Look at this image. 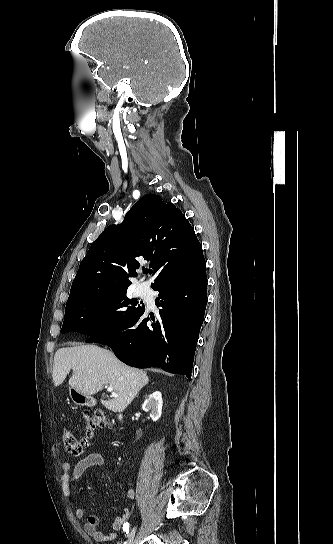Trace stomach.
I'll return each mask as SVG.
<instances>
[{"label": "stomach", "mask_w": 333, "mask_h": 544, "mask_svg": "<svg viewBox=\"0 0 333 544\" xmlns=\"http://www.w3.org/2000/svg\"><path fill=\"white\" fill-rule=\"evenodd\" d=\"M76 394H80V393H79V392H76ZM71 396H72V395H71ZM72 398H73V400H74L76 403H79L78 400H77V397H75V398L72 397Z\"/></svg>", "instance_id": "obj_1"}]
</instances>
